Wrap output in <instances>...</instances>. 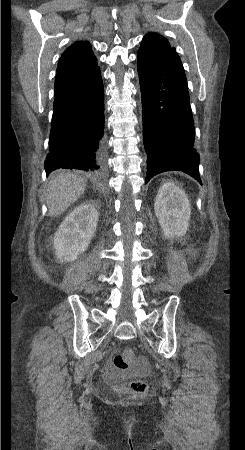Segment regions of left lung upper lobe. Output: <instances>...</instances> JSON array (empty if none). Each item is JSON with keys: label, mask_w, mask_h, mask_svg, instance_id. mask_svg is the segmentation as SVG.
<instances>
[{"label": "left lung upper lobe", "mask_w": 245, "mask_h": 450, "mask_svg": "<svg viewBox=\"0 0 245 450\" xmlns=\"http://www.w3.org/2000/svg\"><path fill=\"white\" fill-rule=\"evenodd\" d=\"M168 40L158 33L144 36L137 54L138 62L151 67L165 66L176 74L186 85L187 79L179 55ZM188 86V85H187Z\"/></svg>", "instance_id": "5c2ea615"}]
</instances>
